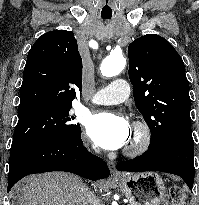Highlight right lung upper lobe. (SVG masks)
I'll return each instance as SVG.
<instances>
[{
	"instance_id": "right-lung-upper-lobe-1",
	"label": "right lung upper lobe",
	"mask_w": 199,
	"mask_h": 205,
	"mask_svg": "<svg viewBox=\"0 0 199 205\" xmlns=\"http://www.w3.org/2000/svg\"><path fill=\"white\" fill-rule=\"evenodd\" d=\"M81 86L82 59L73 32H47L28 53L18 110L72 104Z\"/></svg>"
}]
</instances>
